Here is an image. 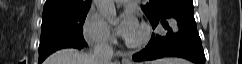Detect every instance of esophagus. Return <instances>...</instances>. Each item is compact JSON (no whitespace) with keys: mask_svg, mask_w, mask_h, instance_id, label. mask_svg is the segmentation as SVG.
I'll return each mask as SVG.
<instances>
[{"mask_svg":"<svg viewBox=\"0 0 242 64\" xmlns=\"http://www.w3.org/2000/svg\"><path fill=\"white\" fill-rule=\"evenodd\" d=\"M122 63L123 64H129L130 62H129V59L128 58H123L122 59Z\"/></svg>","mask_w":242,"mask_h":64,"instance_id":"1","label":"esophagus"}]
</instances>
